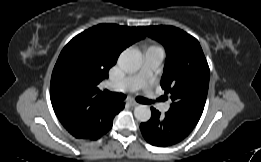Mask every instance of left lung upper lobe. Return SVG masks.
<instances>
[{"label":"left lung upper lobe","instance_id":"1","mask_svg":"<svg viewBox=\"0 0 261 162\" xmlns=\"http://www.w3.org/2000/svg\"><path fill=\"white\" fill-rule=\"evenodd\" d=\"M140 29L161 42L166 49L161 87L172 100L168 112L182 115L197 124L204 110L210 75L198 40L173 26H147Z\"/></svg>","mask_w":261,"mask_h":162}]
</instances>
